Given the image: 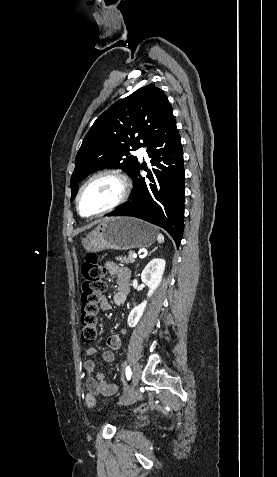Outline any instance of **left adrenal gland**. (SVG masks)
Here are the masks:
<instances>
[{
	"instance_id": "left-adrenal-gland-1",
	"label": "left adrenal gland",
	"mask_w": 277,
	"mask_h": 477,
	"mask_svg": "<svg viewBox=\"0 0 277 477\" xmlns=\"http://www.w3.org/2000/svg\"><path fill=\"white\" fill-rule=\"evenodd\" d=\"M157 248H154L152 251L149 252L148 256L151 255V253H153Z\"/></svg>"
}]
</instances>
